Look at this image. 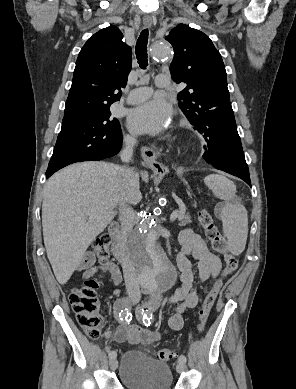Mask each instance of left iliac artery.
Listing matches in <instances>:
<instances>
[{
	"mask_svg": "<svg viewBox=\"0 0 296 389\" xmlns=\"http://www.w3.org/2000/svg\"><path fill=\"white\" fill-rule=\"evenodd\" d=\"M152 312H153V308L148 307V306H144L142 308H139L136 311V317L139 320H142L143 323L146 326H150L151 320H152V317H153L152 316ZM178 362L186 363V356L185 355H180L179 358H178Z\"/></svg>",
	"mask_w": 296,
	"mask_h": 389,
	"instance_id": "44dca946",
	"label": "left iliac artery"
}]
</instances>
